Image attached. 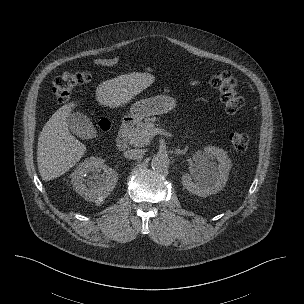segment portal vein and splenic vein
Returning a JSON list of instances; mask_svg holds the SVG:
<instances>
[{"mask_svg": "<svg viewBox=\"0 0 304 304\" xmlns=\"http://www.w3.org/2000/svg\"><path fill=\"white\" fill-rule=\"evenodd\" d=\"M157 134L165 135L166 132L163 131L162 129L154 128V129L150 130V132L148 133V135H149L150 137H154V136L157 135Z\"/></svg>", "mask_w": 304, "mask_h": 304, "instance_id": "portal-vein-and-splenic-vein-1", "label": "portal vein and splenic vein"}]
</instances>
